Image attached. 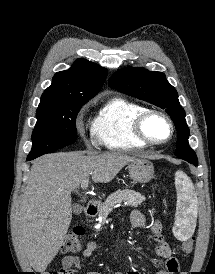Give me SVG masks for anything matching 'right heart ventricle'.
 <instances>
[{
    "label": "right heart ventricle",
    "mask_w": 215,
    "mask_h": 274,
    "mask_svg": "<svg viewBox=\"0 0 215 274\" xmlns=\"http://www.w3.org/2000/svg\"><path fill=\"white\" fill-rule=\"evenodd\" d=\"M146 108L133 101L115 97L107 101L94 117V140L109 150H129L147 146L134 134L133 124Z\"/></svg>",
    "instance_id": "obj_1"
}]
</instances>
